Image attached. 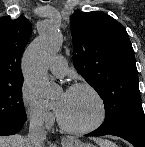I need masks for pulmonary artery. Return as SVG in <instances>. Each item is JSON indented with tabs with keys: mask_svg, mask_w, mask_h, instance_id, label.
<instances>
[{
	"mask_svg": "<svg viewBox=\"0 0 145 147\" xmlns=\"http://www.w3.org/2000/svg\"><path fill=\"white\" fill-rule=\"evenodd\" d=\"M68 70L67 61L63 56H56L50 63V71L56 76H64Z\"/></svg>",
	"mask_w": 145,
	"mask_h": 147,
	"instance_id": "pulmonary-artery-1",
	"label": "pulmonary artery"
}]
</instances>
